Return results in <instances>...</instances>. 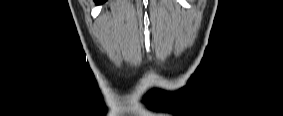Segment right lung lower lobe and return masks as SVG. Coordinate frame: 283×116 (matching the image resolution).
<instances>
[{"instance_id":"right-lung-lower-lobe-1","label":"right lung lower lobe","mask_w":283,"mask_h":116,"mask_svg":"<svg viewBox=\"0 0 283 116\" xmlns=\"http://www.w3.org/2000/svg\"><path fill=\"white\" fill-rule=\"evenodd\" d=\"M97 4H102L105 2V0H95Z\"/></svg>"}]
</instances>
